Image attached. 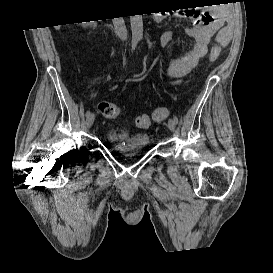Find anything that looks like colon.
Masks as SVG:
<instances>
[{"label": "colon", "mask_w": 273, "mask_h": 273, "mask_svg": "<svg viewBox=\"0 0 273 273\" xmlns=\"http://www.w3.org/2000/svg\"><path fill=\"white\" fill-rule=\"evenodd\" d=\"M220 57V50L213 47L210 53L211 62H216ZM100 113L106 118H117L120 114V108L117 104L112 102H102L99 104ZM169 110L167 108H156L151 115H141L136 118V125L140 128H147L151 125L152 120L161 121L169 117Z\"/></svg>", "instance_id": "1"}]
</instances>
